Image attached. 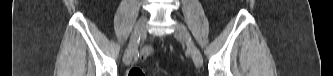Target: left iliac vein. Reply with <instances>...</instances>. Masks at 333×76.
I'll use <instances>...</instances> for the list:
<instances>
[{
  "instance_id": "obj_1",
  "label": "left iliac vein",
  "mask_w": 333,
  "mask_h": 76,
  "mask_svg": "<svg viewBox=\"0 0 333 76\" xmlns=\"http://www.w3.org/2000/svg\"><path fill=\"white\" fill-rule=\"evenodd\" d=\"M175 37L186 43L188 52L192 56V59L197 67H201L203 64V58L199 49L191 41L187 28L180 22H176L174 25Z\"/></svg>"
}]
</instances>
